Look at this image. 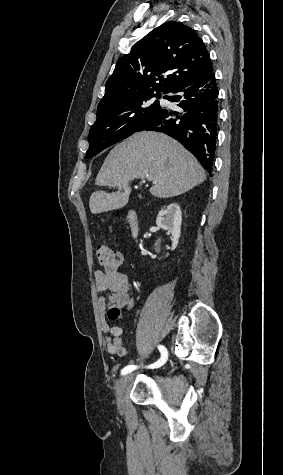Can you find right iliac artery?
Wrapping results in <instances>:
<instances>
[{
  "label": "right iliac artery",
  "mask_w": 283,
  "mask_h": 475,
  "mask_svg": "<svg viewBox=\"0 0 283 475\" xmlns=\"http://www.w3.org/2000/svg\"><path fill=\"white\" fill-rule=\"evenodd\" d=\"M158 349L161 353V358L157 362H155L154 364H151V365L147 366V368H150V369L158 368V367L162 366L167 361V359H168L167 349L162 345H160L158 347ZM136 368H137V366H135V365H128V366H126L122 369L121 375H126V374L132 372L133 370H135Z\"/></svg>",
  "instance_id": "82829eb1"
}]
</instances>
